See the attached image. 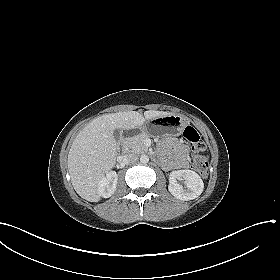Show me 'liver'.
I'll return each mask as SVG.
<instances>
[{"label":"liver","mask_w":280,"mask_h":280,"mask_svg":"<svg viewBox=\"0 0 280 280\" xmlns=\"http://www.w3.org/2000/svg\"><path fill=\"white\" fill-rule=\"evenodd\" d=\"M170 112L149 110L105 114L85 126L74 139L68 153V171L77 194L90 202H98V182L116 163L118 145L116 129H136L145 121L171 115Z\"/></svg>","instance_id":"obj_1"}]
</instances>
